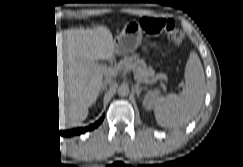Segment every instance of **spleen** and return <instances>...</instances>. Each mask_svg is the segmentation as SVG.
Here are the masks:
<instances>
[{"mask_svg": "<svg viewBox=\"0 0 243 167\" xmlns=\"http://www.w3.org/2000/svg\"><path fill=\"white\" fill-rule=\"evenodd\" d=\"M185 87L181 94L159 97L154 103L157 123L166 128L181 127L192 120L202 107L205 75L201 61L191 52L185 68Z\"/></svg>", "mask_w": 243, "mask_h": 167, "instance_id": "spleen-1", "label": "spleen"}]
</instances>
